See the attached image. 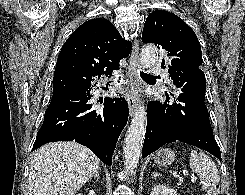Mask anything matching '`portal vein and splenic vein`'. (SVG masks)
Segmentation results:
<instances>
[{"label":"portal vein and splenic vein","mask_w":245,"mask_h":195,"mask_svg":"<svg viewBox=\"0 0 245 195\" xmlns=\"http://www.w3.org/2000/svg\"><path fill=\"white\" fill-rule=\"evenodd\" d=\"M196 179H197V178H196L195 176H192V177H191V181H192V182L196 181Z\"/></svg>","instance_id":"portal-vein-and-splenic-vein-1"}]
</instances>
